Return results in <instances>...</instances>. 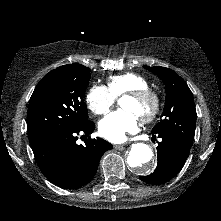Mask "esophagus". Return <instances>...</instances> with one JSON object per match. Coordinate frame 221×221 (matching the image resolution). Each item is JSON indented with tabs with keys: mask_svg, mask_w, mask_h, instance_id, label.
<instances>
[{
	"mask_svg": "<svg viewBox=\"0 0 221 221\" xmlns=\"http://www.w3.org/2000/svg\"><path fill=\"white\" fill-rule=\"evenodd\" d=\"M127 144H128V143H124V144H115V145H114V148L120 150V149L124 148Z\"/></svg>",
	"mask_w": 221,
	"mask_h": 221,
	"instance_id": "obj_1",
	"label": "esophagus"
}]
</instances>
